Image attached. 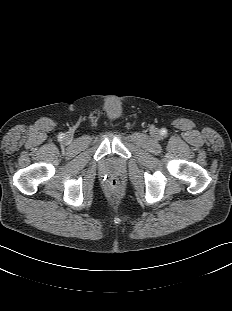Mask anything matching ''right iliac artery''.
Returning a JSON list of instances; mask_svg holds the SVG:
<instances>
[{
    "label": "right iliac artery",
    "mask_w": 232,
    "mask_h": 311,
    "mask_svg": "<svg viewBox=\"0 0 232 311\" xmlns=\"http://www.w3.org/2000/svg\"><path fill=\"white\" fill-rule=\"evenodd\" d=\"M64 136H63V134H61L60 136H59V138H63Z\"/></svg>",
    "instance_id": "82829eb1"
}]
</instances>
